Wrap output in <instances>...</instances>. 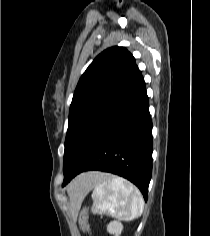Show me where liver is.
<instances>
[{"mask_svg":"<svg viewBox=\"0 0 210 236\" xmlns=\"http://www.w3.org/2000/svg\"><path fill=\"white\" fill-rule=\"evenodd\" d=\"M104 174L97 172L83 173L76 177L69 186L70 195L73 199H82L90 190L89 184L101 178Z\"/></svg>","mask_w":210,"mask_h":236,"instance_id":"1","label":"liver"}]
</instances>
